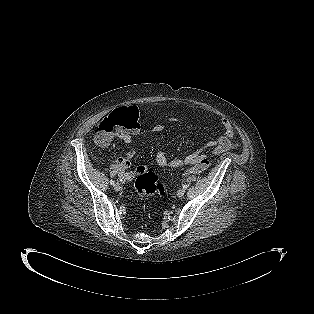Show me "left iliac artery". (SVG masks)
<instances>
[{"mask_svg": "<svg viewBox=\"0 0 314 314\" xmlns=\"http://www.w3.org/2000/svg\"><path fill=\"white\" fill-rule=\"evenodd\" d=\"M187 188H188V185H187V184H184V185H183V189L186 190Z\"/></svg>", "mask_w": 314, "mask_h": 314, "instance_id": "obj_1", "label": "left iliac artery"}]
</instances>
